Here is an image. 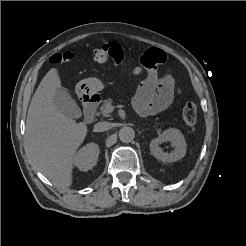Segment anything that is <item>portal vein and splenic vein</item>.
I'll list each match as a JSON object with an SVG mask.
<instances>
[{
    "label": "portal vein and splenic vein",
    "mask_w": 246,
    "mask_h": 246,
    "mask_svg": "<svg viewBox=\"0 0 246 246\" xmlns=\"http://www.w3.org/2000/svg\"><path fill=\"white\" fill-rule=\"evenodd\" d=\"M114 109H115L114 106L109 105V106L107 107V112H108V113H111Z\"/></svg>",
    "instance_id": "portal-vein-and-splenic-vein-1"
}]
</instances>
